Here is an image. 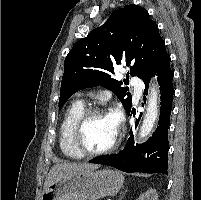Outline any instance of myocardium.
Returning a JSON list of instances; mask_svg holds the SVG:
<instances>
[{"instance_id": "myocardium-1", "label": "myocardium", "mask_w": 201, "mask_h": 200, "mask_svg": "<svg viewBox=\"0 0 201 200\" xmlns=\"http://www.w3.org/2000/svg\"><path fill=\"white\" fill-rule=\"evenodd\" d=\"M101 114L109 115L108 111L103 107H99V106L87 107L83 110V112L80 114V116L77 118V120L75 121L73 125L72 132H71L72 144L74 148L82 156L92 157V156H100V155L108 154L114 151L120 143V134L117 132V135L115 139L113 140V142L103 149L89 150L83 145L82 133H83L85 124L91 117L95 115H101Z\"/></svg>"}]
</instances>
